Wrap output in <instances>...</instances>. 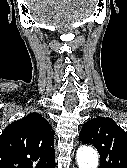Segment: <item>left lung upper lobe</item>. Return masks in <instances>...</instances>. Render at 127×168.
Segmentation results:
<instances>
[{"mask_svg": "<svg viewBox=\"0 0 127 168\" xmlns=\"http://www.w3.org/2000/svg\"><path fill=\"white\" fill-rule=\"evenodd\" d=\"M79 139L97 148L99 168H127V132L113 119L97 117L89 120L81 129Z\"/></svg>", "mask_w": 127, "mask_h": 168, "instance_id": "5c2ea615", "label": "left lung upper lobe"}]
</instances>
